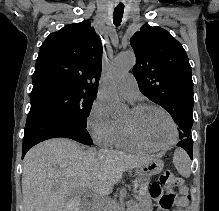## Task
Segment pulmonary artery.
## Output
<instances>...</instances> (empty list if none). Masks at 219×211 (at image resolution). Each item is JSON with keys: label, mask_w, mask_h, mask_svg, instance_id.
Returning <instances> with one entry per match:
<instances>
[{"label": "pulmonary artery", "mask_w": 219, "mask_h": 211, "mask_svg": "<svg viewBox=\"0 0 219 211\" xmlns=\"http://www.w3.org/2000/svg\"><path fill=\"white\" fill-rule=\"evenodd\" d=\"M119 93L128 100H133L138 92V83L132 73L123 76L118 85Z\"/></svg>", "instance_id": "pulmonary-artery-1"}]
</instances>
